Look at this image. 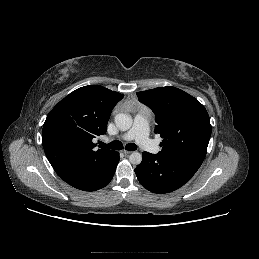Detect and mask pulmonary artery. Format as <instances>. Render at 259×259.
Returning a JSON list of instances; mask_svg holds the SVG:
<instances>
[{
  "label": "pulmonary artery",
  "instance_id": "e3ab8cb5",
  "mask_svg": "<svg viewBox=\"0 0 259 259\" xmlns=\"http://www.w3.org/2000/svg\"><path fill=\"white\" fill-rule=\"evenodd\" d=\"M120 140H135L143 149L150 152H157L158 147L148 137V119L145 113L135 116L132 128L118 137Z\"/></svg>",
  "mask_w": 259,
  "mask_h": 259
}]
</instances>
